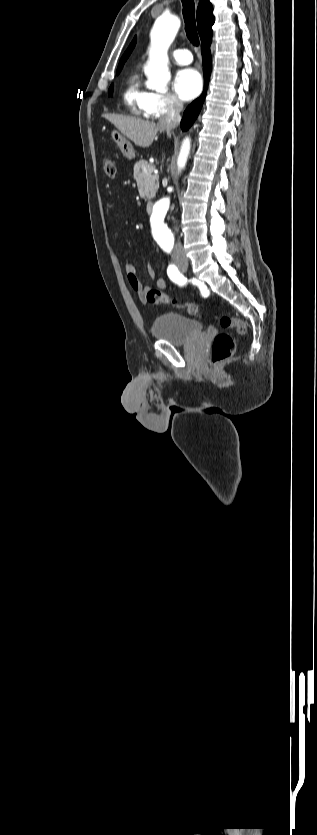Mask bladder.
I'll return each instance as SVG.
<instances>
[{
    "label": "bladder",
    "mask_w": 317,
    "mask_h": 835,
    "mask_svg": "<svg viewBox=\"0 0 317 835\" xmlns=\"http://www.w3.org/2000/svg\"><path fill=\"white\" fill-rule=\"evenodd\" d=\"M152 334L175 346H183L204 335L202 323L181 314L168 313L157 317L151 328Z\"/></svg>",
    "instance_id": "bladder-1"
}]
</instances>
